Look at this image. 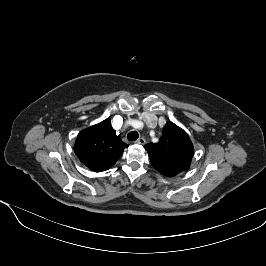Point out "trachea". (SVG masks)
I'll return each instance as SVG.
<instances>
[{
    "label": "trachea",
    "instance_id": "3493384b",
    "mask_svg": "<svg viewBox=\"0 0 266 266\" xmlns=\"http://www.w3.org/2000/svg\"><path fill=\"white\" fill-rule=\"evenodd\" d=\"M138 137H139V134H138L137 131H132V132H130V133L127 135V139H128L129 141H135V140L138 139Z\"/></svg>",
    "mask_w": 266,
    "mask_h": 266
}]
</instances>
